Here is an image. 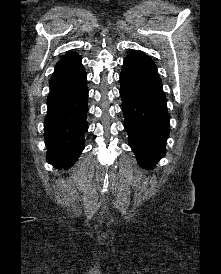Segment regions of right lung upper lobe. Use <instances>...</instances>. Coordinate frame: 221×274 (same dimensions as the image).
Segmentation results:
<instances>
[{
  "instance_id": "right-lung-upper-lobe-1",
  "label": "right lung upper lobe",
  "mask_w": 221,
  "mask_h": 274,
  "mask_svg": "<svg viewBox=\"0 0 221 274\" xmlns=\"http://www.w3.org/2000/svg\"><path fill=\"white\" fill-rule=\"evenodd\" d=\"M79 58H81V56H79L76 52L67 53L58 61L55 68L74 62Z\"/></svg>"
}]
</instances>
